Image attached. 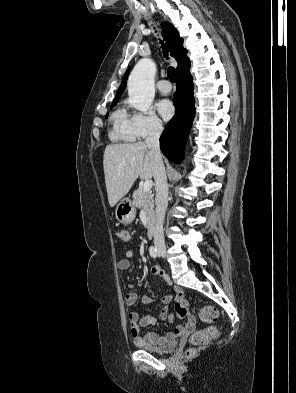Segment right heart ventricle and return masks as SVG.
<instances>
[{
    "label": "right heart ventricle",
    "instance_id": "obj_1",
    "mask_svg": "<svg viewBox=\"0 0 296 393\" xmlns=\"http://www.w3.org/2000/svg\"><path fill=\"white\" fill-rule=\"evenodd\" d=\"M110 138L114 141L134 142L135 135L131 116L124 108L117 109L112 116Z\"/></svg>",
    "mask_w": 296,
    "mask_h": 393
}]
</instances>
